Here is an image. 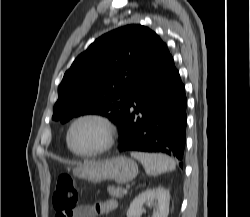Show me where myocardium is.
<instances>
[{
    "label": "myocardium",
    "mask_w": 250,
    "mask_h": 217,
    "mask_svg": "<svg viewBox=\"0 0 250 217\" xmlns=\"http://www.w3.org/2000/svg\"><path fill=\"white\" fill-rule=\"evenodd\" d=\"M85 120H92L97 123H99L104 131V138L102 143L94 150L91 151H78L74 148L72 142H71V134L74 129V127ZM115 136H116V127L112 120L108 118L107 116L97 113V112H88L81 114L74 118L71 123L68 126L67 132H66V142L69 147V149L77 156L81 157H94L97 155H100L107 150H109L114 142H115Z\"/></svg>",
    "instance_id": "f54148a6"
}]
</instances>
